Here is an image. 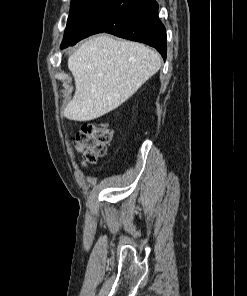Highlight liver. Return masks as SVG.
<instances>
[{"instance_id": "obj_1", "label": "liver", "mask_w": 247, "mask_h": 296, "mask_svg": "<svg viewBox=\"0 0 247 296\" xmlns=\"http://www.w3.org/2000/svg\"><path fill=\"white\" fill-rule=\"evenodd\" d=\"M160 67V55L141 43L92 37L68 58L76 89L64 115L80 122L99 118L132 97Z\"/></svg>"}]
</instances>
